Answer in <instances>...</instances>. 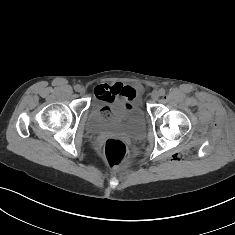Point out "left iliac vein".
I'll list each match as a JSON object with an SVG mask.
<instances>
[{
    "mask_svg": "<svg viewBox=\"0 0 235 235\" xmlns=\"http://www.w3.org/2000/svg\"><path fill=\"white\" fill-rule=\"evenodd\" d=\"M160 94H159V91H153L152 94H151V98L153 101H157L158 98H159Z\"/></svg>",
    "mask_w": 235,
    "mask_h": 235,
    "instance_id": "1",
    "label": "left iliac vein"
}]
</instances>
